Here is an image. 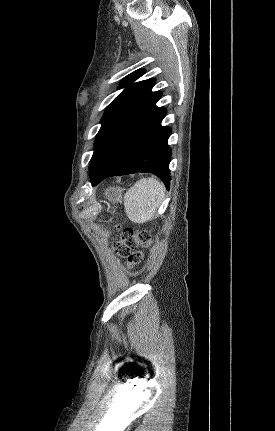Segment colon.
<instances>
[{
    "label": "colon",
    "mask_w": 275,
    "mask_h": 431,
    "mask_svg": "<svg viewBox=\"0 0 275 431\" xmlns=\"http://www.w3.org/2000/svg\"><path fill=\"white\" fill-rule=\"evenodd\" d=\"M149 243L148 235L145 231H134L130 228L124 229L119 241L114 243L115 251L125 257L129 264H135L141 259L139 247Z\"/></svg>",
    "instance_id": "obj_1"
}]
</instances>
